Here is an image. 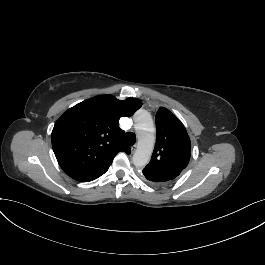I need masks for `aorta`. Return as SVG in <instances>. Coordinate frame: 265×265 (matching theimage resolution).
I'll return each mask as SVG.
<instances>
[{
  "label": "aorta",
  "instance_id": "762f6f07",
  "mask_svg": "<svg viewBox=\"0 0 265 265\" xmlns=\"http://www.w3.org/2000/svg\"><path fill=\"white\" fill-rule=\"evenodd\" d=\"M135 120L139 140L132 161L136 167H143L149 162L154 148V124L151 115L142 109L137 112Z\"/></svg>",
  "mask_w": 265,
  "mask_h": 265
}]
</instances>
